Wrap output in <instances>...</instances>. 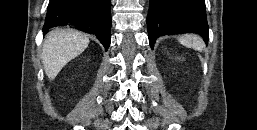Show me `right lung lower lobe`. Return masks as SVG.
Returning a JSON list of instances; mask_svg holds the SVG:
<instances>
[{"mask_svg":"<svg viewBox=\"0 0 257 130\" xmlns=\"http://www.w3.org/2000/svg\"><path fill=\"white\" fill-rule=\"evenodd\" d=\"M57 26H75L94 34L107 50L110 45V0H50L43 32Z\"/></svg>","mask_w":257,"mask_h":130,"instance_id":"right-lung-lower-lobe-1","label":"right lung lower lobe"}]
</instances>
